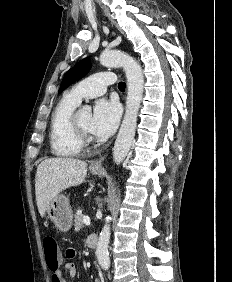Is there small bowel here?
<instances>
[{
  "mask_svg": "<svg viewBox=\"0 0 232 282\" xmlns=\"http://www.w3.org/2000/svg\"><path fill=\"white\" fill-rule=\"evenodd\" d=\"M76 256V252L74 249H67L65 253V257L69 260L63 264L61 268L54 271L51 277L52 282H67L64 274H68L71 278L76 277L77 269L72 261ZM95 282H100L99 280H95Z\"/></svg>",
  "mask_w": 232,
  "mask_h": 282,
  "instance_id": "c3829d8e",
  "label": "small bowel"
}]
</instances>
